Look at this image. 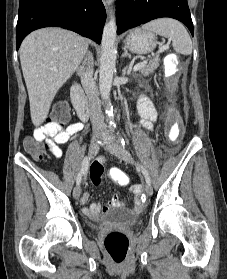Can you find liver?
<instances>
[{
    "label": "liver",
    "instance_id": "1",
    "mask_svg": "<svg viewBox=\"0 0 227 279\" xmlns=\"http://www.w3.org/2000/svg\"><path fill=\"white\" fill-rule=\"evenodd\" d=\"M88 49V40L61 28H43L29 34L20 47L31 120L40 126L62 85L73 75Z\"/></svg>",
    "mask_w": 227,
    "mask_h": 279
}]
</instances>
